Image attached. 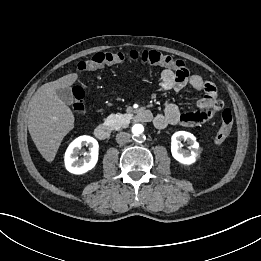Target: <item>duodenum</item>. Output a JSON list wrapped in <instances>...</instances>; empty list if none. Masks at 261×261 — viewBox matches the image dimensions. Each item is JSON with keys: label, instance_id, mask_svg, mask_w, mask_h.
Returning a JSON list of instances; mask_svg holds the SVG:
<instances>
[{"label": "duodenum", "instance_id": "410a0bca", "mask_svg": "<svg viewBox=\"0 0 261 261\" xmlns=\"http://www.w3.org/2000/svg\"><path fill=\"white\" fill-rule=\"evenodd\" d=\"M153 116L148 110H138L133 115V120L135 122H150ZM95 136L100 140L108 139L111 135V128L105 123L98 124L94 129Z\"/></svg>", "mask_w": 261, "mask_h": 261}]
</instances>
